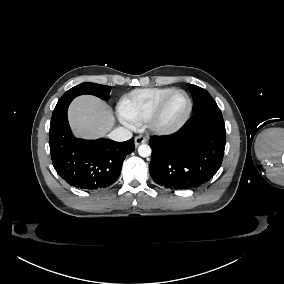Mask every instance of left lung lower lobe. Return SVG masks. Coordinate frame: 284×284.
Wrapping results in <instances>:
<instances>
[{
	"label": "left lung lower lobe",
	"mask_w": 284,
	"mask_h": 284,
	"mask_svg": "<svg viewBox=\"0 0 284 284\" xmlns=\"http://www.w3.org/2000/svg\"><path fill=\"white\" fill-rule=\"evenodd\" d=\"M225 140L219 107L195 113L176 133L150 140V175L157 184L171 190L200 186L220 168Z\"/></svg>",
	"instance_id": "left-lung-lower-lobe-1"
}]
</instances>
